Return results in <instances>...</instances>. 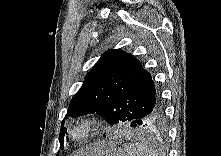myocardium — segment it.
Instances as JSON below:
<instances>
[{
    "label": "myocardium",
    "instance_id": "f54148a6",
    "mask_svg": "<svg viewBox=\"0 0 221 156\" xmlns=\"http://www.w3.org/2000/svg\"><path fill=\"white\" fill-rule=\"evenodd\" d=\"M102 121L96 115H82L66 124L64 139L69 144H82L100 133Z\"/></svg>",
    "mask_w": 221,
    "mask_h": 156
}]
</instances>
